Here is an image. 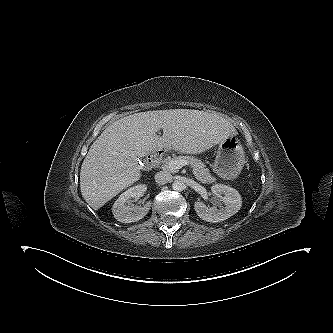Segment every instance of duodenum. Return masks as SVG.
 <instances>
[{"label":"duodenum","instance_id":"410a0bca","mask_svg":"<svg viewBox=\"0 0 333 333\" xmlns=\"http://www.w3.org/2000/svg\"><path fill=\"white\" fill-rule=\"evenodd\" d=\"M162 156H163V151H158L155 154L149 156L144 163V168L146 170L152 169L154 166H156L159 163Z\"/></svg>","mask_w":333,"mask_h":333}]
</instances>
